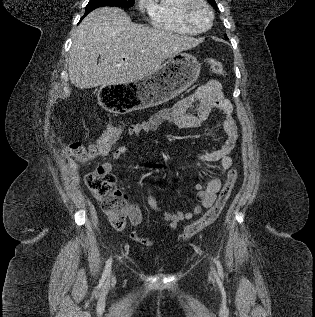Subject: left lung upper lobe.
Masks as SVG:
<instances>
[{
  "instance_id": "1",
  "label": "left lung upper lobe",
  "mask_w": 315,
  "mask_h": 317,
  "mask_svg": "<svg viewBox=\"0 0 315 317\" xmlns=\"http://www.w3.org/2000/svg\"><path fill=\"white\" fill-rule=\"evenodd\" d=\"M208 2H209L212 6H214L215 9H217L215 0H208ZM225 36H226V35H225Z\"/></svg>"
}]
</instances>
